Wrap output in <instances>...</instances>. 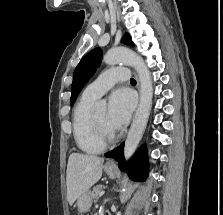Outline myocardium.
Segmentation results:
<instances>
[{
	"mask_svg": "<svg viewBox=\"0 0 223 215\" xmlns=\"http://www.w3.org/2000/svg\"><path fill=\"white\" fill-rule=\"evenodd\" d=\"M92 123H93L95 140L103 148H108V147L114 146L118 142L119 136L116 133L114 134V136L111 140H107L105 138L104 130H103L101 124L99 123V121L97 120L95 112H93V115H92Z\"/></svg>",
	"mask_w": 223,
	"mask_h": 215,
	"instance_id": "myocardium-1",
	"label": "myocardium"
}]
</instances>
